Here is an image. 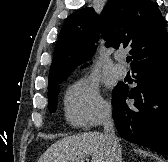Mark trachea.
Here are the masks:
<instances>
[{
	"instance_id": "3493384b",
	"label": "trachea",
	"mask_w": 168,
	"mask_h": 162,
	"mask_svg": "<svg viewBox=\"0 0 168 162\" xmlns=\"http://www.w3.org/2000/svg\"><path fill=\"white\" fill-rule=\"evenodd\" d=\"M131 59H132V57H131V56H128V57L126 58V61H127V62H130Z\"/></svg>"
}]
</instances>
